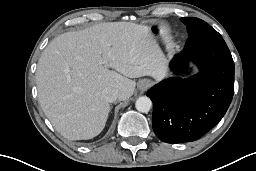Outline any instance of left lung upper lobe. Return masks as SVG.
<instances>
[{
	"label": "left lung upper lobe",
	"mask_w": 256,
	"mask_h": 171,
	"mask_svg": "<svg viewBox=\"0 0 256 171\" xmlns=\"http://www.w3.org/2000/svg\"><path fill=\"white\" fill-rule=\"evenodd\" d=\"M181 21L187 26L189 37H222L214 28L201 19L195 17H183L181 18Z\"/></svg>",
	"instance_id": "left-lung-upper-lobe-1"
}]
</instances>
